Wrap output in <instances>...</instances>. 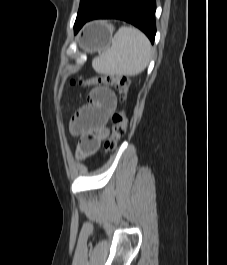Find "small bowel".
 <instances>
[{"label":"small bowel","mask_w":227,"mask_h":265,"mask_svg":"<svg viewBox=\"0 0 227 265\" xmlns=\"http://www.w3.org/2000/svg\"><path fill=\"white\" fill-rule=\"evenodd\" d=\"M115 107L116 98L110 89L97 87L89 93L88 103L73 116L70 125L74 135L82 136L80 153H93L108 136L107 122Z\"/></svg>","instance_id":"small-bowel-1"}]
</instances>
